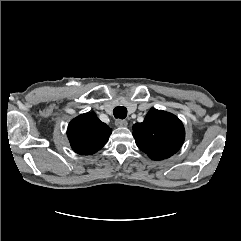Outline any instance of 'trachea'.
Returning <instances> with one entry per match:
<instances>
[{
	"instance_id": "3493384b",
	"label": "trachea",
	"mask_w": 241,
	"mask_h": 241,
	"mask_svg": "<svg viewBox=\"0 0 241 241\" xmlns=\"http://www.w3.org/2000/svg\"><path fill=\"white\" fill-rule=\"evenodd\" d=\"M113 114L115 118L124 119L127 116V109L123 106L115 107L113 110Z\"/></svg>"
}]
</instances>
